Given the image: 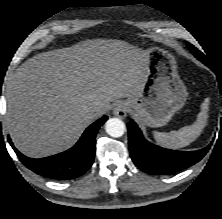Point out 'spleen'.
<instances>
[{"label": "spleen", "mask_w": 222, "mask_h": 219, "mask_svg": "<svg viewBox=\"0 0 222 219\" xmlns=\"http://www.w3.org/2000/svg\"><path fill=\"white\" fill-rule=\"evenodd\" d=\"M209 111V98H206L201 105V111L197 120L189 126L182 127L178 131L169 133L154 131L153 135L158 144L170 148L179 149L188 146L196 140L207 125Z\"/></svg>", "instance_id": "3e777b00"}]
</instances>
